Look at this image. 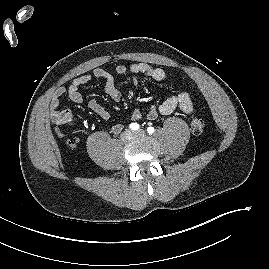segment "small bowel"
I'll use <instances>...</instances> for the list:
<instances>
[{
    "instance_id": "c3829d8e",
    "label": "small bowel",
    "mask_w": 269,
    "mask_h": 269,
    "mask_svg": "<svg viewBox=\"0 0 269 269\" xmlns=\"http://www.w3.org/2000/svg\"><path fill=\"white\" fill-rule=\"evenodd\" d=\"M115 73L118 76L130 73L132 76L131 81L133 86H136L139 83L140 78H148L158 82H162L167 79V74L163 69L146 63H134L128 67L125 65H118L115 69ZM93 77L103 80L104 91L112 100L118 101L121 99V91L115 84L114 76L104 69L97 68L93 71L92 75L85 74L78 76L73 79L68 86L59 87L54 91L50 100V115L55 122L60 125H64L63 116L65 114L71 115L69 111L60 110V98L67 95L72 102L81 104L83 102V96L79 89L81 86L89 83ZM88 107L100 118L104 120L109 119V112L97 100L90 99L88 101ZM177 108L186 115L192 113L193 103L188 92H178L168 97L158 106H150L146 112V117L150 120H154L159 114L169 115ZM142 116L143 114L140 110H134L131 114V120L139 121ZM122 128V125L117 123L112 126V132L118 134L121 132Z\"/></svg>"
}]
</instances>
